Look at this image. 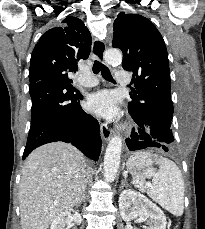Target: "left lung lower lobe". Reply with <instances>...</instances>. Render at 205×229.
I'll list each match as a JSON object with an SVG mask.
<instances>
[{
    "label": "left lung lower lobe",
    "instance_id": "1",
    "mask_svg": "<svg viewBox=\"0 0 205 229\" xmlns=\"http://www.w3.org/2000/svg\"><path fill=\"white\" fill-rule=\"evenodd\" d=\"M128 110L139 126L136 132L133 128L131 138L126 139L129 150L134 151L155 146L161 147L164 151H168L169 146H167V142L174 139L173 134H170L172 130H166V125L161 126L154 122H150L133 112L131 109Z\"/></svg>",
    "mask_w": 205,
    "mask_h": 229
}]
</instances>
